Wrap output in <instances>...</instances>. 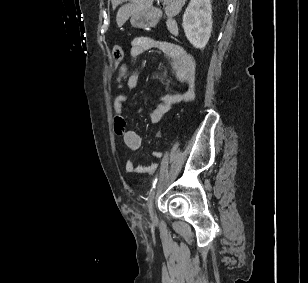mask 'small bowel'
<instances>
[{"label": "small bowel", "mask_w": 308, "mask_h": 283, "mask_svg": "<svg viewBox=\"0 0 308 283\" xmlns=\"http://www.w3.org/2000/svg\"><path fill=\"white\" fill-rule=\"evenodd\" d=\"M151 49H158L167 56L175 77L186 85L184 91L169 93L160 97L159 102L150 113V120L156 123L160 121L174 104L187 102L192 99L195 83V65L191 56L182 47L174 43L157 41L144 36L137 37L132 41L130 53L133 58H138ZM115 83L118 93L113 98L114 130L117 135L122 136L127 148L136 151L142 146V138L135 130L127 127V121L123 113L124 102L126 101L123 88L126 86L129 89H136L139 84V74L137 72H129L125 65H121L118 69ZM153 156L161 158L163 152L161 150H154ZM156 167V163H151L148 166H139L135 165L131 160H127L125 164V169L129 173H151Z\"/></svg>", "instance_id": "1"}]
</instances>
